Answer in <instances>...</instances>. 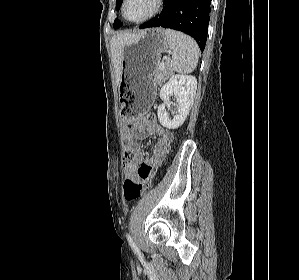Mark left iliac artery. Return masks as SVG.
I'll return each instance as SVG.
<instances>
[{
	"instance_id": "obj_1",
	"label": "left iliac artery",
	"mask_w": 299,
	"mask_h": 280,
	"mask_svg": "<svg viewBox=\"0 0 299 280\" xmlns=\"http://www.w3.org/2000/svg\"><path fill=\"white\" fill-rule=\"evenodd\" d=\"M127 240H128L129 244H130L132 247L135 246V244H134V242H133V239L131 238V236H130L129 234H127Z\"/></svg>"
}]
</instances>
